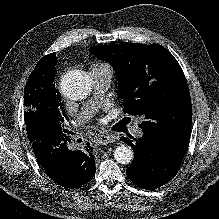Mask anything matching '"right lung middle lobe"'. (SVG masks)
<instances>
[{
    "instance_id": "right-lung-middle-lobe-1",
    "label": "right lung middle lobe",
    "mask_w": 219,
    "mask_h": 219,
    "mask_svg": "<svg viewBox=\"0 0 219 219\" xmlns=\"http://www.w3.org/2000/svg\"><path fill=\"white\" fill-rule=\"evenodd\" d=\"M55 60L56 56L43 57L28 78L24 90V119L27 126L47 121L64 130L68 117L62 107L61 95L53 84Z\"/></svg>"
}]
</instances>
